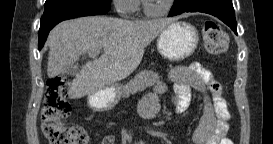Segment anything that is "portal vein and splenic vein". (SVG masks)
Here are the masks:
<instances>
[{"label": "portal vein and splenic vein", "instance_id": "obj_1", "mask_svg": "<svg viewBox=\"0 0 273 144\" xmlns=\"http://www.w3.org/2000/svg\"><path fill=\"white\" fill-rule=\"evenodd\" d=\"M99 53H100V51L90 53V54H89V57L95 59V58L99 55Z\"/></svg>", "mask_w": 273, "mask_h": 144}]
</instances>
